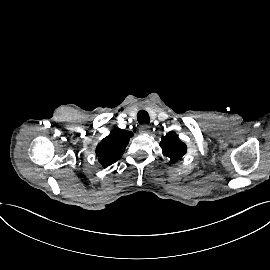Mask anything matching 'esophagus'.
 <instances>
[{"label": "esophagus", "mask_w": 270, "mask_h": 270, "mask_svg": "<svg viewBox=\"0 0 270 270\" xmlns=\"http://www.w3.org/2000/svg\"><path fill=\"white\" fill-rule=\"evenodd\" d=\"M140 133H149L150 132V127L147 124H143L140 129Z\"/></svg>", "instance_id": "esophagus-1"}]
</instances>
